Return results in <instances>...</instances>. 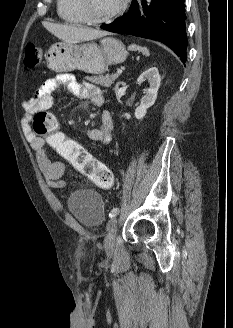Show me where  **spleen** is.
Instances as JSON below:
<instances>
[{
	"label": "spleen",
	"mask_w": 233,
	"mask_h": 328,
	"mask_svg": "<svg viewBox=\"0 0 233 328\" xmlns=\"http://www.w3.org/2000/svg\"><path fill=\"white\" fill-rule=\"evenodd\" d=\"M128 50H131V51H140L145 56H149L150 55L149 50L146 47H141V46L136 45V44H131L130 46H128Z\"/></svg>",
	"instance_id": "spleen-1"
}]
</instances>
